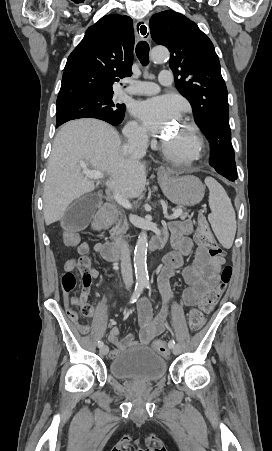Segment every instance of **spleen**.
<instances>
[{"label": "spleen", "instance_id": "1", "mask_svg": "<svg viewBox=\"0 0 272 451\" xmlns=\"http://www.w3.org/2000/svg\"><path fill=\"white\" fill-rule=\"evenodd\" d=\"M205 184L209 190L211 210L208 220L218 241L222 243L223 247L229 249L237 229L234 208L224 188L214 178H205Z\"/></svg>", "mask_w": 272, "mask_h": 451}]
</instances>
